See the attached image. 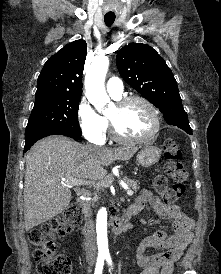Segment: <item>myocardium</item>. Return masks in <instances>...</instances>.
Returning a JSON list of instances; mask_svg holds the SVG:
<instances>
[{
	"label": "myocardium",
	"mask_w": 221,
	"mask_h": 274,
	"mask_svg": "<svg viewBox=\"0 0 221 274\" xmlns=\"http://www.w3.org/2000/svg\"><path fill=\"white\" fill-rule=\"evenodd\" d=\"M133 102H140L148 108L152 118V127L149 133L140 138L124 137L123 135L119 133L113 119L108 116L107 118L109 122L110 132H111L112 138L119 143L127 144V145L145 144L150 142L156 136V134L158 133L160 129L159 113L155 105L150 100L140 95H131V96L123 97L117 100L115 105L118 108H123Z\"/></svg>",
	"instance_id": "1"
}]
</instances>
